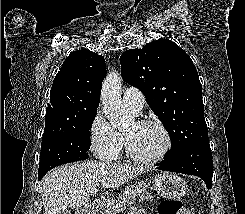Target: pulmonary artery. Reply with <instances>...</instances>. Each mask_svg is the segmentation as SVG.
I'll use <instances>...</instances> for the list:
<instances>
[{
  "label": "pulmonary artery",
  "instance_id": "1",
  "mask_svg": "<svg viewBox=\"0 0 245 214\" xmlns=\"http://www.w3.org/2000/svg\"><path fill=\"white\" fill-rule=\"evenodd\" d=\"M123 103L133 113H138L144 106L145 97L139 89L129 87L123 93Z\"/></svg>",
  "mask_w": 245,
  "mask_h": 214
}]
</instances>
